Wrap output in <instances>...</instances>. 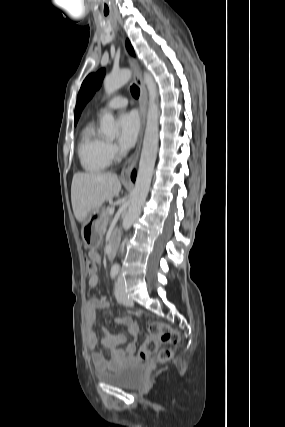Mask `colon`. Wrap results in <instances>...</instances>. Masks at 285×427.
Here are the masks:
<instances>
[{
  "label": "colon",
  "instance_id": "5ec220e1",
  "mask_svg": "<svg viewBox=\"0 0 285 427\" xmlns=\"http://www.w3.org/2000/svg\"><path fill=\"white\" fill-rule=\"evenodd\" d=\"M85 276L88 280L96 277L97 265L91 258H85ZM148 337L142 342L139 348V356L146 359L157 353L158 361L161 363L169 361L173 356V350L170 348L158 349L159 343L176 346L180 342L179 333L164 324L163 322L153 321L147 325Z\"/></svg>",
  "mask_w": 285,
  "mask_h": 427
}]
</instances>
